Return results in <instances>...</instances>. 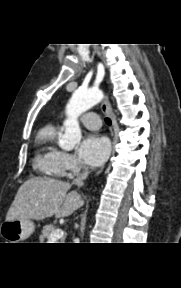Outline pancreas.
<instances>
[{
	"mask_svg": "<svg viewBox=\"0 0 181 288\" xmlns=\"http://www.w3.org/2000/svg\"><path fill=\"white\" fill-rule=\"evenodd\" d=\"M56 230V227L53 224L46 225L43 227L41 231V235L39 236L40 242H44L45 240L49 239L52 232Z\"/></svg>",
	"mask_w": 181,
	"mask_h": 288,
	"instance_id": "obj_1",
	"label": "pancreas"
}]
</instances>
